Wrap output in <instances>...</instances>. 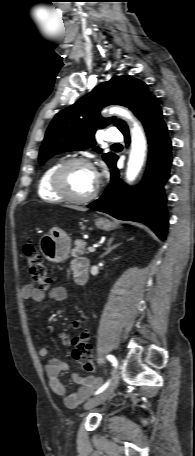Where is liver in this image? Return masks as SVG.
Returning <instances> with one entry per match:
<instances>
[{"instance_id":"obj_1","label":"liver","mask_w":195,"mask_h":456,"mask_svg":"<svg viewBox=\"0 0 195 456\" xmlns=\"http://www.w3.org/2000/svg\"><path fill=\"white\" fill-rule=\"evenodd\" d=\"M67 207L75 209V210H79V211H85V209L79 208V207H76V206H67Z\"/></svg>"}]
</instances>
